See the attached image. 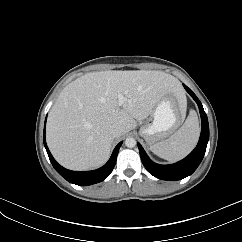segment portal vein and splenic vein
Returning <instances> with one entry per match:
<instances>
[{
	"mask_svg": "<svg viewBox=\"0 0 242 242\" xmlns=\"http://www.w3.org/2000/svg\"><path fill=\"white\" fill-rule=\"evenodd\" d=\"M125 97L122 94H118V105L121 106L124 101H125Z\"/></svg>",
	"mask_w": 242,
	"mask_h": 242,
	"instance_id": "obj_1",
	"label": "portal vein and splenic vein"
}]
</instances>
